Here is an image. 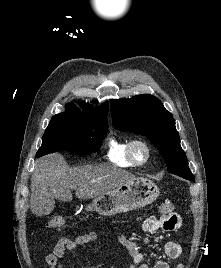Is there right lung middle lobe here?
Segmentation results:
<instances>
[{"label":"right lung middle lobe","instance_id":"obj_1","mask_svg":"<svg viewBox=\"0 0 221 268\" xmlns=\"http://www.w3.org/2000/svg\"><path fill=\"white\" fill-rule=\"evenodd\" d=\"M108 125L95 124L73 116L57 114L52 117L36 157L66 150L76 154H91L100 149Z\"/></svg>","mask_w":221,"mask_h":268}]
</instances>
